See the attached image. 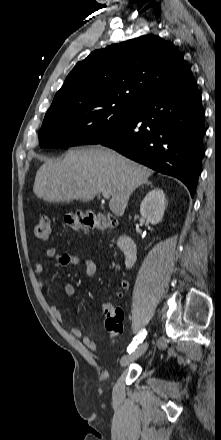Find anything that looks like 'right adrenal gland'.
Segmentation results:
<instances>
[{
  "mask_svg": "<svg viewBox=\"0 0 221 440\" xmlns=\"http://www.w3.org/2000/svg\"><path fill=\"white\" fill-rule=\"evenodd\" d=\"M144 184L150 185L152 187V183L149 181H145Z\"/></svg>",
  "mask_w": 221,
  "mask_h": 440,
  "instance_id": "right-adrenal-gland-1",
  "label": "right adrenal gland"
}]
</instances>
